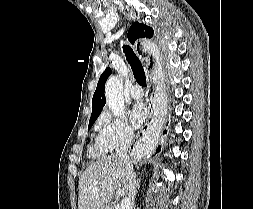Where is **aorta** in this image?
Wrapping results in <instances>:
<instances>
[{"label": "aorta", "instance_id": "aorta-1", "mask_svg": "<svg viewBox=\"0 0 253 209\" xmlns=\"http://www.w3.org/2000/svg\"><path fill=\"white\" fill-rule=\"evenodd\" d=\"M105 99L109 109L115 116H121L125 112L123 83L118 77L111 76L107 80Z\"/></svg>", "mask_w": 253, "mask_h": 209}]
</instances>
